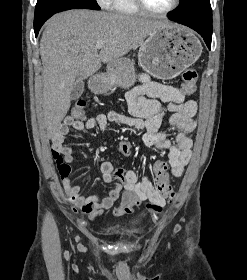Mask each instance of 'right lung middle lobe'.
Wrapping results in <instances>:
<instances>
[{"instance_id":"obj_1","label":"right lung middle lobe","mask_w":247,"mask_h":280,"mask_svg":"<svg viewBox=\"0 0 247 280\" xmlns=\"http://www.w3.org/2000/svg\"><path fill=\"white\" fill-rule=\"evenodd\" d=\"M73 8L100 10L96 0H37L34 24L44 23L55 13Z\"/></svg>"}]
</instances>
